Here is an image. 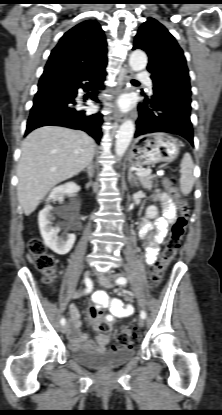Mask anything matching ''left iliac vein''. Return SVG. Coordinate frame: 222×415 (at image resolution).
<instances>
[{"mask_svg":"<svg viewBox=\"0 0 222 415\" xmlns=\"http://www.w3.org/2000/svg\"><path fill=\"white\" fill-rule=\"evenodd\" d=\"M111 281H112L111 277H106L102 279V284L106 287H111L112 285ZM138 325L140 327H143L145 325V321L143 318L138 319Z\"/></svg>","mask_w":222,"mask_h":415,"instance_id":"1","label":"left iliac vein"}]
</instances>
